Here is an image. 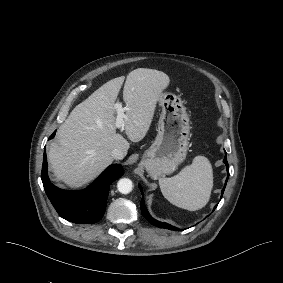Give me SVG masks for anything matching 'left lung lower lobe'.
Returning <instances> with one entry per match:
<instances>
[{"label": "left lung lower lobe", "instance_id": "obj_1", "mask_svg": "<svg viewBox=\"0 0 283 283\" xmlns=\"http://www.w3.org/2000/svg\"><path fill=\"white\" fill-rule=\"evenodd\" d=\"M223 162L226 164V169H227V172H228V177H229V166H228V162H227V156H226V152H225V158L223 160ZM228 177L226 179V182H225V186L222 190V195H223V192H224V189L226 187V184H227V180H228ZM139 188L142 192V200L140 202V207H141V213L142 215L144 216V218L152 225L156 226V227H159V228H164V229H169V230H174V231H179L180 229H178L177 227L175 226H172L168 223H165V222H160V221H157L156 219H154L148 212L145 204H144V197H143V191H142V187L139 185ZM221 195V197H222ZM217 207V205L214 207V209Z\"/></svg>", "mask_w": 283, "mask_h": 283}]
</instances>
